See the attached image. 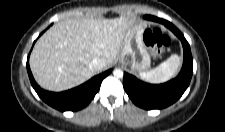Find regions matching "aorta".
Masks as SVG:
<instances>
[{
  "label": "aorta",
  "mask_w": 225,
  "mask_h": 132,
  "mask_svg": "<svg viewBox=\"0 0 225 132\" xmlns=\"http://www.w3.org/2000/svg\"><path fill=\"white\" fill-rule=\"evenodd\" d=\"M113 74L117 78H122L123 77V71L121 69H115Z\"/></svg>",
  "instance_id": "obj_1"
}]
</instances>
